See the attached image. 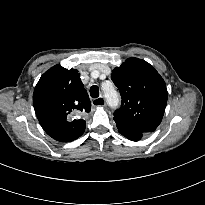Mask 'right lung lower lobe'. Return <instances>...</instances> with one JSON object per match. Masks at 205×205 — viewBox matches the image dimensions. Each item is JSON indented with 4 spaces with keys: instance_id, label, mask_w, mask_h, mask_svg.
Listing matches in <instances>:
<instances>
[{
    "instance_id": "1",
    "label": "right lung lower lobe",
    "mask_w": 205,
    "mask_h": 205,
    "mask_svg": "<svg viewBox=\"0 0 205 205\" xmlns=\"http://www.w3.org/2000/svg\"><path fill=\"white\" fill-rule=\"evenodd\" d=\"M46 133L51 136L52 138L54 137L55 133H56V129L55 128H51V129H47ZM56 140V139H55ZM58 141V140H57Z\"/></svg>"
}]
</instances>
